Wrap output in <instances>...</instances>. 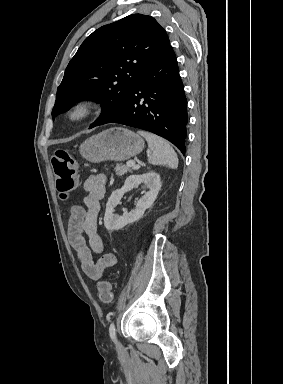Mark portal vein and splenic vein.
<instances>
[{
  "label": "portal vein and splenic vein",
  "mask_w": 283,
  "mask_h": 384,
  "mask_svg": "<svg viewBox=\"0 0 283 384\" xmlns=\"http://www.w3.org/2000/svg\"><path fill=\"white\" fill-rule=\"evenodd\" d=\"M135 164V160H129V162H126V166H129V168H132V166H135Z\"/></svg>",
  "instance_id": "1"
}]
</instances>
